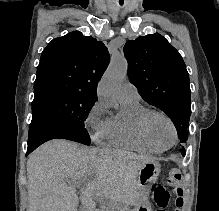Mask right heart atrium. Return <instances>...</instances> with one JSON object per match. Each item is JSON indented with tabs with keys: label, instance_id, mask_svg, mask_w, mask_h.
<instances>
[{
	"label": "right heart atrium",
	"instance_id": "d8ad5b80",
	"mask_svg": "<svg viewBox=\"0 0 219 211\" xmlns=\"http://www.w3.org/2000/svg\"><path fill=\"white\" fill-rule=\"evenodd\" d=\"M85 123L95 143L99 144L105 138H108L110 117L107 116V109L100 100L96 101L89 109Z\"/></svg>",
	"mask_w": 219,
	"mask_h": 211
}]
</instances>
